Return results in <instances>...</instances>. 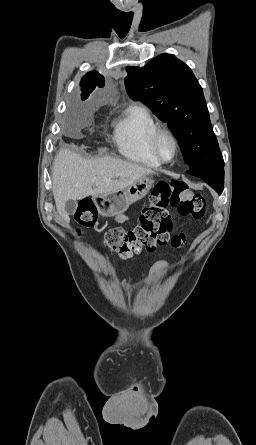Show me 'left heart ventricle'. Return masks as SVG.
<instances>
[{
    "mask_svg": "<svg viewBox=\"0 0 256 445\" xmlns=\"http://www.w3.org/2000/svg\"><path fill=\"white\" fill-rule=\"evenodd\" d=\"M159 148L162 156L165 159L169 160L172 158L174 154V146L172 141L168 137H163L161 139Z\"/></svg>",
    "mask_w": 256,
    "mask_h": 445,
    "instance_id": "obj_1",
    "label": "left heart ventricle"
}]
</instances>
